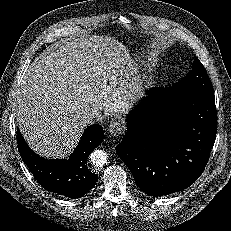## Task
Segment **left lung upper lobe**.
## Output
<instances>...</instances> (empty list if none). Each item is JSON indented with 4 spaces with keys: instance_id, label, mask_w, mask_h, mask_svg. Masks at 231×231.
Wrapping results in <instances>:
<instances>
[{
    "instance_id": "5c2ea615",
    "label": "left lung upper lobe",
    "mask_w": 231,
    "mask_h": 231,
    "mask_svg": "<svg viewBox=\"0 0 231 231\" xmlns=\"http://www.w3.org/2000/svg\"><path fill=\"white\" fill-rule=\"evenodd\" d=\"M157 89L161 93H166L188 89L213 90V87L204 66L196 57L192 64V70L180 82L169 88L158 87Z\"/></svg>"
}]
</instances>
